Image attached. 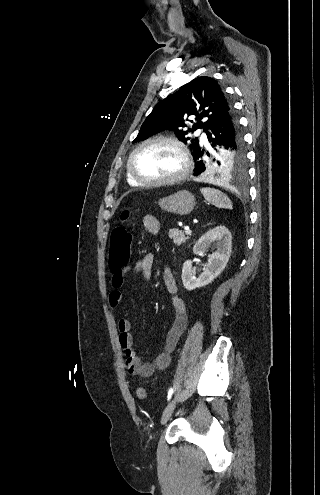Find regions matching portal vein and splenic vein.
Here are the masks:
<instances>
[{"instance_id":"portal-vein-and-splenic-vein-1","label":"portal vein and splenic vein","mask_w":320,"mask_h":495,"mask_svg":"<svg viewBox=\"0 0 320 495\" xmlns=\"http://www.w3.org/2000/svg\"><path fill=\"white\" fill-rule=\"evenodd\" d=\"M192 233V231L190 229H188L187 231H185V234L186 235H190Z\"/></svg>"}]
</instances>
